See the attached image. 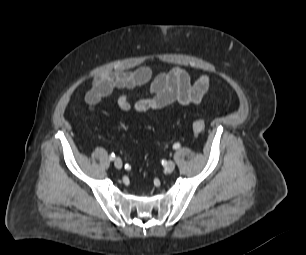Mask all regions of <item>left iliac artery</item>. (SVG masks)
Listing matches in <instances>:
<instances>
[{
	"label": "left iliac artery",
	"instance_id": "left-iliac-artery-1",
	"mask_svg": "<svg viewBox=\"0 0 306 255\" xmlns=\"http://www.w3.org/2000/svg\"><path fill=\"white\" fill-rule=\"evenodd\" d=\"M173 148H174V149H179V148H180V143H175V144L173 145Z\"/></svg>",
	"mask_w": 306,
	"mask_h": 255
}]
</instances>
